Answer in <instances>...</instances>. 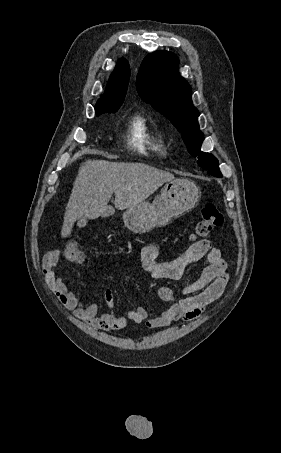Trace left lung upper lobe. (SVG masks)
<instances>
[{"label": "left lung upper lobe", "mask_w": 281, "mask_h": 453, "mask_svg": "<svg viewBox=\"0 0 281 453\" xmlns=\"http://www.w3.org/2000/svg\"><path fill=\"white\" fill-rule=\"evenodd\" d=\"M136 88L146 103L174 124L189 153L198 157V165L211 175L222 176L217 158L200 150L204 136L199 130V112L192 104L191 87L179 75L178 58L167 51L149 54L139 69Z\"/></svg>", "instance_id": "obj_1"}]
</instances>
